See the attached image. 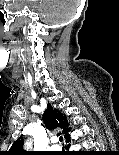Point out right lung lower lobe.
Returning a JSON list of instances; mask_svg holds the SVG:
<instances>
[{
    "label": "right lung lower lobe",
    "instance_id": "98d812e1",
    "mask_svg": "<svg viewBox=\"0 0 119 155\" xmlns=\"http://www.w3.org/2000/svg\"><path fill=\"white\" fill-rule=\"evenodd\" d=\"M66 140H67V142L70 141V135H68V137H66ZM83 153H84V152H83ZM83 153H80V154H78V155H84Z\"/></svg>",
    "mask_w": 119,
    "mask_h": 155
}]
</instances>
